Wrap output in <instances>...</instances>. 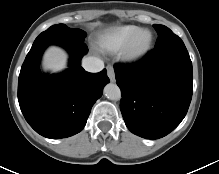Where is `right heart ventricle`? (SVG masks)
<instances>
[{
    "label": "right heart ventricle",
    "mask_w": 219,
    "mask_h": 174,
    "mask_svg": "<svg viewBox=\"0 0 219 174\" xmlns=\"http://www.w3.org/2000/svg\"><path fill=\"white\" fill-rule=\"evenodd\" d=\"M135 25L114 26L105 30L97 39V46L104 52H117L121 50L131 36L138 31Z\"/></svg>",
    "instance_id": "e07e8e85"
}]
</instances>
